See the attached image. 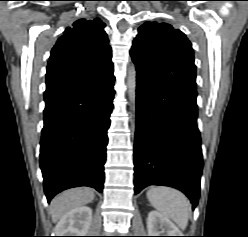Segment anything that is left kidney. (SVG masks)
<instances>
[{
    "label": "left kidney",
    "mask_w": 248,
    "mask_h": 237,
    "mask_svg": "<svg viewBox=\"0 0 248 237\" xmlns=\"http://www.w3.org/2000/svg\"><path fill=\"white\" fill-rule=\"evenodd\" d=\"M148 236H183L168 218L157 211H151L147 218Z\"/></svg>",
    "instance_id": "5707ae66"
}]
</instances>
